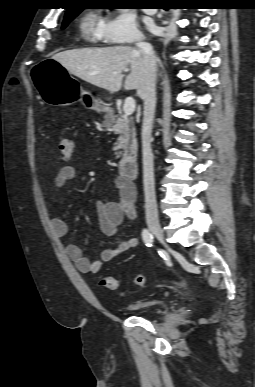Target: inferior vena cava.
Here are the masks:
<instances>
[{"instance_id":"inferior-vena-cava-1","label":"inferior vena cava","mask_w":255,"mask_h":387,"mask_svg":"<svg viewBox=\"0 0 255 387\" xmlns=\"http://www.w3.org/2000/svg\"><path fill=\"white\" fill-rule=\"evenodd\" d=\"M137 48L143 54L144 85L137 91L144 101V117L142 125V150H143V184L145 194L146 220L158 222V210L155 196L153 153L151 149L152 123L156 107V56L149 43L139 39Z\"/></svg>"}]
</instances>
